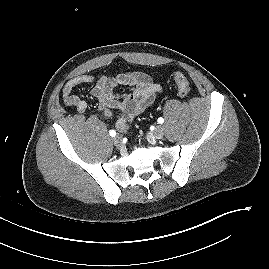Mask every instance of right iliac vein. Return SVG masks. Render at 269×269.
I'll list each match as a JSON object with an SVG mask.
<instances>
[{
  "label": "right iliac vein",
  "mask_w": 269,
  "mask_h": 269,
  "mask_svg": "<svg viewBox=\"0 0 269 269\" xmlns=\"http://www.w3.org/2000/svg\"><path fill=\"white\" fill-rule=\"evenodd\" d=\"M112 141L116 146H121L122 145V137L120 135L114 136Z\"/></svg>",
  "instance_id": "obj_1"
}]
</instances>
